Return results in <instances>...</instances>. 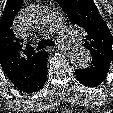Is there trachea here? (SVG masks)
Returning a JSON list of instances; mask_svg holds the SVG:
<instances>
[{"label":"trachea","mask_w":113,"mask_h":113,"mask_svg":"<svg viewBox=\"0 0 113 113\" xmlns=\"http://www.w3.org/2000/svg\"><path fill=\"white\" fill-rule=\"evenodd\" d=\"M47 46H55L54 41L49 39H41L38 43L37 50H41Z\"/></svg>","instance_id":"trachea-1"}]
</instances>
